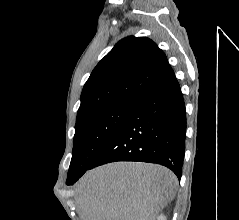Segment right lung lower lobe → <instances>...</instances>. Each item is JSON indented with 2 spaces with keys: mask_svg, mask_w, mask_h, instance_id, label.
I'll list each match as a JSON object with an SVG mask.
<instances>
[{
  "mask_svg": "<svg viewBox=\"0 0 239 220\" xmlns=\"http://www.w3.org/2000/svg\"><path fill=\"white\" fill-rule=\"evenodd\" d=\"M185 134V104L173 73L131 104L124 120L89 169L114 161H142L164 165L180 179Z\"/></svg>",
  "mask_w": 239,
  "mask_h": 220,
  "instance_id": "1",
  "label": "right lung lower lobe"
}]
</instances>
